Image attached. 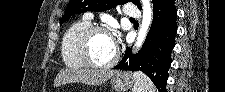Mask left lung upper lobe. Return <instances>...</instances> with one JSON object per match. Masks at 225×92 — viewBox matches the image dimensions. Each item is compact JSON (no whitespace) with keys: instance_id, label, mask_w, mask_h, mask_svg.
<instances>
[{"instance_id":"left-lung-upper-lobe-1","label":"left lung upper lobe","mask_w":225,"mask_h":92,"mask_svg":"<svg viewBox=\"0 0 225 92\" xmlns=\"http://www.w3.org/2000/svg\"><path fill=\"white\" fill-rule=\"evenodd\" d=\"M128 1L133 2L139 9H141L139 0H70L66 7L64 16L60 20V25L66 22L74 14L86 11H104L111 9L113 5L118 3L124 4ZM157 1L158 0H152L153 5Z\"/></svg>"}]
</instances>
